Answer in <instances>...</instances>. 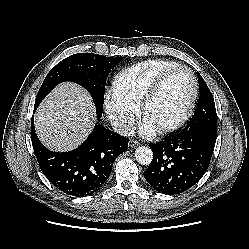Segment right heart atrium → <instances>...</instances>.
<instances>
[{"instance_id":"d8ad5b80","label":"right heart atrium","mask_w":249,"mask_h":249,"mask_svg":"<svg viewBox=\"0 0 249 249\" xmlns=\"http://www.w3.org/2000/svg\"><path fill=\"white\" fill-rule=\"evenodd\" d=\"M104 109L114 128L120 133H128L133 128L138 112L119 100L112 92L107 93Z\"/></svg>"}]
</instances>
